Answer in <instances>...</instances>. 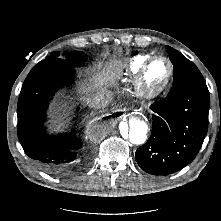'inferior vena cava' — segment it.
Masks as SVG:
<instances>
[{"label": "inferior vena cava", "instance_id": "obj_1", "mask_svg": "<svg viewBox=\"0 0 221 221\" xmlns=\"http://www.w3.org/2000/svg\"><path fill=\"white\" fill-rule=\"evenodd\" d=\"M112 101V95L108 92L100 93L95 96L89 103V106L94 109H103Z\"/></svg>", "mask_w": 221, "mask_h": 221}]
</instances>
